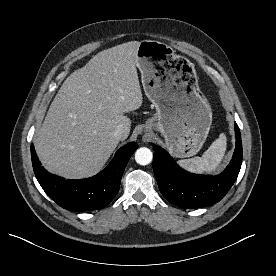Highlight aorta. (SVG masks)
I'll return each mask as SVG.
<instances>
[{
	"label": "aorta",
	"mask_w": 276,
	"mask_h": 276,
	"mask_svg": "<svg viewBox=\"0 0 276 276\" xmlns=\"http://www.w3.org/2000/svg\"><path fill=\"white\" fill-rule=\"evenodd\" d=\"M153 159V154L150 149L142 147L135 152V160L139 165H148Z\"/></svg>",
	"instance_id": "762f6f07"
}]
</instances>
